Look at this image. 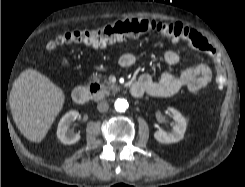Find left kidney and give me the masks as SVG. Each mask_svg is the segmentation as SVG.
Wrapping results in <instances>:
<instances>
[{"instance_id": "left-kidney-1", "label": "left kidney", "mask_w": 245, "mask_h": 187, "mask_svg": "<svg viewBox=\"0 0 245 187\" xmlns=\"http://www.w3.org/2000/svg\"><path fill=\"white\" fill-rule=\"evenodd\" d=\"M167 112L172 115L175 121L173 128L170 131L158 130L154 133V138L163 144L180 141L184 137L187 127V121L179 111L174 108H168Z\"/></svg>"}]
</instances>
